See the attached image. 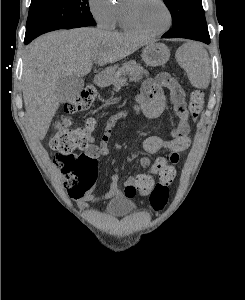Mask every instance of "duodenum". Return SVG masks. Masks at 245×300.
I'll list each match as a JSON object with an SVG mask.
<instances>
[{
    "mask_svg": "<svg viewBox=\"0 0 245 300\" xmlns=\"http://www.w3.org/2000/svg\"><path fill=\"white\" fill-rule=\"evenodd\" d=\"M108 81V77L105 73H99L95 76V83L98 85V86H105L106 83Z\"/></svg>",
    "mask_w": 245,
    "mask_h": 300,
    "instance_id": "duodenum-1",
    "label": "duodenum"
}]
</instances>
